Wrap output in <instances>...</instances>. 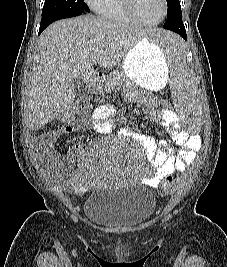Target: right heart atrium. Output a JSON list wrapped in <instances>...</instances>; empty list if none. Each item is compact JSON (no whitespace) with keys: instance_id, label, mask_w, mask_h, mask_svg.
<instances>
[{"instance_id":"1","label":"right heart atrium","mask_w":227,"mask_h":267,"mask_svg":"<svg viewBox=\"0 0 227 267\" xmlns=\"http://www.w3.org/2000/svg\"><path fill=\"white\" fill-rule=\"evenodd\" d=\"M107 0H85V3L94 11L99 9L106 3Z\"/></svg>"}]
</instances>
